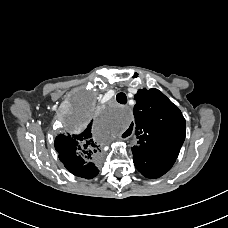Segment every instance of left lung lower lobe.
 Returning a JSON list of instances; mask_svg holds the SVG:
<instances>
[{"instance_id":"obj_1","label":"left lung lower lobe","mask_w":228,"mask_h":228,"mask_svg":"<svg viewBox=\"0 0 228 228\" xmlns=\"http://www.w3.org/2000/svg\"><path fill=\"white\" fill-rule=\"evenodd\" d=\"M176 159L161 157L151 153H134V165L147 178H158L173 166Z\"/></svg>"}]
</instances>
